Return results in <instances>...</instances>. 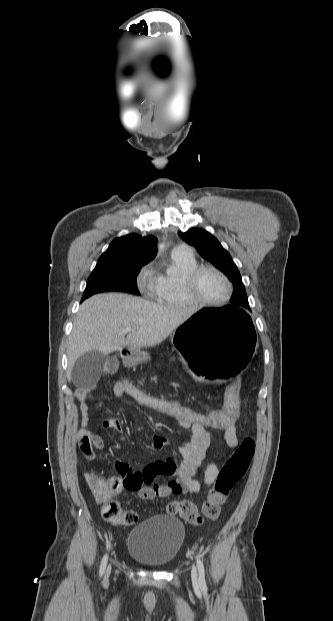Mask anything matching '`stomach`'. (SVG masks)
I'll return each instance as SVG.
<instances>
[{
    "mask_svg": "<svg viewBox=\"0 0 333 621\" xmlns=\"http://www.w3.org/2000/svg\"><path fill=\"white\" fill-rule=\"evenodd\" d=\"M186 364L205 376V384L219 389L229 379L240 378L250 368L256 334L250 314L231 306L204 308L187 314L171 334ZM133 364L149 358L145 351L129 348Z\"/></svg>",
    "mask_w": 333,
    "mask_h": 621,
    "instance_id": "obj_1",
    "label": "stomach"
}]
</instances>
